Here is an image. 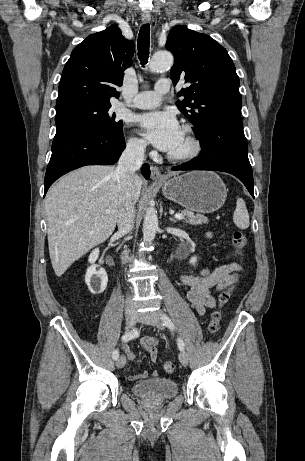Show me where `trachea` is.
<instances>
[{"label":"trachea","instance_id":"trachea-1","mask_svg":"<svg viewBox=\"0 0 305 461\" xmlns=\"http://www.w3.org/2000/svg\"><path fill=\"white\" fill-rule=\"evenodd\" d=\"M149 46H150V26L149 24L142 25L138 35V58L141 65H145L149 58Z\"/></svg>","mask_w":305,"mask_h":461}]
</instances>
